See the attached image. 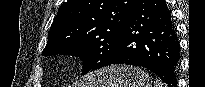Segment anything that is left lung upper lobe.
Returning <instances> with one entry per match:
<instances>
[{"mask_svg": "<svg viewBox=\"0 0 205 87\" xmlns=\"http://www.w3.org/2000/svg\"><path fill=\"white\" fill-rule=\"evenodd\" d=\"M137 0H67L53 21L43 56H79L82 73L102 68L115 54Z\"/></svg>", "mask_w": 205, "mask_h": 87, "instance_id": "left-lung-upper-lobe-1", "label": "left lung upper lobe"}]
</instances>
